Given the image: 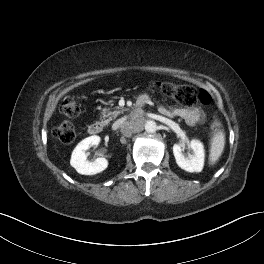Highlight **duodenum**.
<instances>
[{
    "mask_svg": "<svg viewBox=\"0 0 264 264\" xmlns=\"http://www.w3.org/2000/svg\"><path fill=\"white\" fill-rule=\"evenodd\" d=\"M139 102L144 103L143 100H140ZM103 129H104L103 123L97 121V122H93L89 125L88 132L91 135H98L103 131Z\"/></svg>",
    "mask_w": 264,
    "mask_h": 264,
    "instance_id": "410a0bca",
    "label": "duodenum"
}]
</instances>
